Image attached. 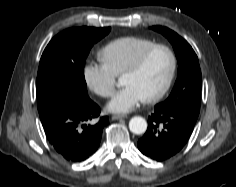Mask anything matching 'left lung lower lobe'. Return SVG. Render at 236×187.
<instances>
[{
    "label": "left lung lower lobe",
    "instance_id": "left-lung-lower-lobe-1",
    "mask_svg": "<svg viewBox=\"0 0 236 187\" xmlns=\"http://www.w3.org/2000/svg\"><path fill=\"white\" fill-rule=\"evenodd\" d=\"M197 118L198 115L189 111L157 104L148 118L146 133L138 140L139 150L156 161L172 157L187 143Z\"/></svg>",
    "mask_w": 236,
    "mask_h": 187
}]
</instances>
